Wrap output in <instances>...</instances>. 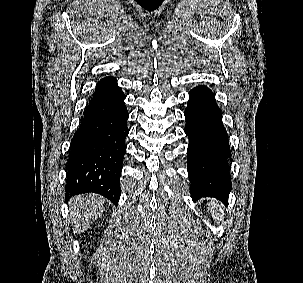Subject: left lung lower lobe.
I'll return each mask as SVG.
<instances>
[{
	"mask_svg": "<svg viewBox=\"0 0 303 283\" xmlns=\"http://www.w3.org/2000/svg\"><path fill=\"white\" fill-rule=\"evenodd\" d=\"M184 115L185 133L190 141L187 169L192 198L215 197L226 204L230 192L227 160L231 153L212 91L203 85L194 88Z\"/></svg>",
	"mask_w": 303,
	"mask_h": 283,
	"instance_id": "0a47b994",
	"label": "left lung lower lobe"
}]
</instances>
